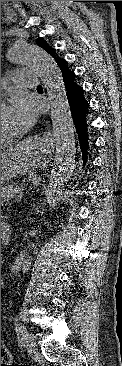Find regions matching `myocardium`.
<instances>
[{"label": "myocardium", "mask_w": 122, "mask_h": 366, "mask_svg": "<svg viewBox=\"0 0 122 366\" xmlns=\"http://www.w3.org/2000/svg\"><path fill=\"white\" fill-rule=\"evenodd\" d=\"M1 107H5V102L1 100ZM15 139V135L3 136L1 135V144L2 143H9Z\"/></svg>", "instance_id": "1"}]
</instances>
